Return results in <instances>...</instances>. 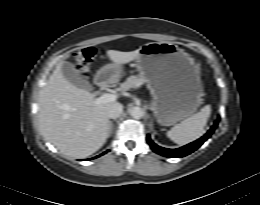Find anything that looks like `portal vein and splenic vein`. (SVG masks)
Returning <instances> with one entry per match:
<instances>
[{
  "instance_id": "1",
  "label": "portal vein and splenic vein",
  "mask_w": 260,
  "mask_h": 205,
  "mask_svg": "<svg viewBox=\"0 0 260 205\" xmlns=\"http://www.w3.org/2000/svg\"><path fill=\"white\" fill-rule=\"evenodd\" d=\"M116 94L104 93L99 98H96L93 102L94 105H100L103 103L114 102L117 99Z\"/></svg>"
}]
</instances>
